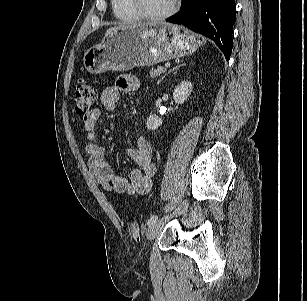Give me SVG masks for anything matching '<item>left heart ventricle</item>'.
I'll return each mask as SVG.
<instances>
[{
    "label": "left heart ventricle",
    "instance_id": "b2bd125f",
    "mask_svg": "<svg viewBox=\"0 0 307 301\" xmlns=\"http://www.w3.org/2000/svg\"><path fill=\"white\" fill-rule=\"evenodd\" d=\"M173 0H141V5L145 11L152 14H160L167 11Z\"/></svg>",
    "mask_w": 307,
    "mask_h": 301
}]
</instances>
